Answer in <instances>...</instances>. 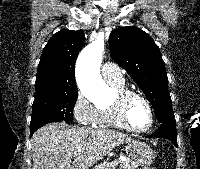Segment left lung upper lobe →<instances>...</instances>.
<instances>
[{"mask_svg":"<svg viewBox=\"0 0 200 169\" xmlns=\"http://www.w3.org/2000/svg\"><path fill=\"white\" fill-rule=\"evenodd\" d=\"M112 59L124 68L145 93L160 123H176L168 78L158 46L135 26L120 27L109 37Z\"/></svg>","mask_w":200,"mask_h":169,"instance_id":"1","label":"left lung upper lobe"}]
</instances>
